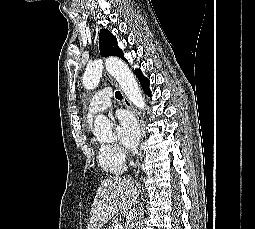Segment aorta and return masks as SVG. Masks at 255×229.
Returning <instances> with one entry per match:
<instances>
[{
    "mask_svg": "<svg viewBox=\"0 0 255 229\" xmlns=\"http://www.w3.org/2000/svg\"><path fill=\"white\" fill-rule=\"evenodd\" d=\"M107 71L117 80L128 99L140 110L145 109V101L138 83L128 65L118 58H107ZM103 62L96 60L88 64L83 75V85L94 89L102 77ZM93 133L100 142H113L116 135L112 131V122L104 115H98L94 121Z\"/></svg>",
    "mask_w": 255,
    "mask_h": 229,
    "instance_id": "aorta-1",
    "label": "aorta"
}]
</instances>
